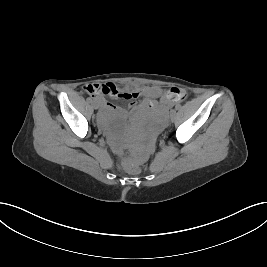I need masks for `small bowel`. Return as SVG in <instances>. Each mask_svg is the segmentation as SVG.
Masks as SVG:
<instances>
[{
  "label": "small bowel",
  "mask_w": 267,
  "mask_h": 267,
  "mask_svg": "<svg viewBox=\"0 0 267 267\" xmlns=\"http://www.w3.org/2000/svg\"><path fill=\"white\" fill-rule=\"evenodd\" d=\"M85 91L92 96H99L90 93L91 85H87L85 87ZM129 95L131 98L130 106L132 108L146 109L150 114L153 115L166 112L170 107L174 106V104L177 102L172 98L170 91H166L160 87H154V86L136 87L130 92ZM139 96L145 97V101L143 103L140 104L137 103L136 98H138ZM94 101L100 104L105 109H112V106L108 104L106 101H104L101 97H96ZM115 109L120 113L123 112L121 108H115Z\"/></svg>",
  "instance_id": "1"
}]
</instances>
